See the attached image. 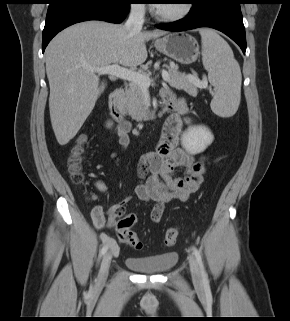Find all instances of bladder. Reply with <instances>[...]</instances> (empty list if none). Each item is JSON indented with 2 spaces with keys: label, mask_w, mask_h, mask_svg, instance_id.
Wrapping results in <instances>:
<instances>
[{
  "label": "bladder",
  "mask_w": 290,
  "mask_h": 321,
  "mask_svg": "<svg viewBox=\"0 0 290 321\" xmlns=\"http://www.w3.org/2000/svg\"><path fill=\"white\" fill-rule=\"evenodd\" d=\"M177 253H165L150 257L128 256L125 264L131 269L147 274H158L171 269L177 261Z\"/></svg>",
  "instance_id": "31cf9c89"
}]
</instances>
